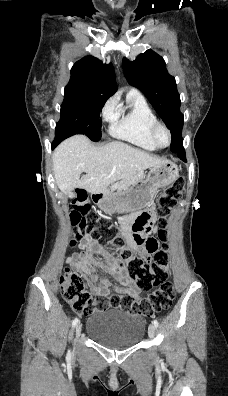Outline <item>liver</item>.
I'll return each instance as SVG.
<instances>
[{"label":"liver","mask_w":228,"mask_h":396,"mask_svg":"<svg viewBox=\"0 0 228 396\" xmlns=\"http://www.w3.org/2000/svg\"><path fill=\"white\" fill-rule=\"evenodd\" d=\"M167 162L123 142L112 141L97 147L86 136L75 135L55 149L53 171L64 194H71L75 188L99 194L115 181ZM82 172L86 174L80 178Z\"/></svg>","instance_id":"obj_1"}]
</instances>
